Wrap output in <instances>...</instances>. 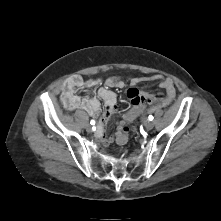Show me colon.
Wrapping results in <instances>:
<instances>
[{
    "instance_id": "colon-1",
    "label": "colon",
    "mask_w": 221,
    "mask_h": 221,
    "mask_svg": "<svg viewBox=\"0 0 221 221\" xmlns=\"http://www.w3.org/2000/svg\"><path fill=\"white\" fill-rule=\"evenodd\" d=\"M146 96V100L137 103L133 110L128 111L122 122L119 123L116 137L114 139L116 145H124L128 140V135L130 134V126L133 125L134 121L137 120L139 116H142L146 109L151 108L154 103H158L160 101V97L158 95L151 96L148 94Z\"/></svg>"
}]
</instances>
